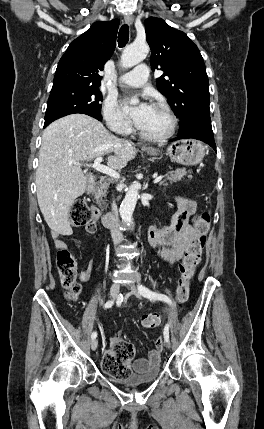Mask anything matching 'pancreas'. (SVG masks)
<instances>
[{
	"label": "pancreas",
	"mask_w": 264,
	"mask_h": 429,
	"mask_svg": "<svg viewBox=\"0 0 264 429\" xmlns=\"http://www.w3.org/2000/svg\"><path fill=\"white\" fill-rule=\"evenodd\" d=\"M191 173V171H189ZM187 175V171L185 168L177 169L175 171H171L165 175L166 179L161 182V184H164L165 186L168 185L167 181L170 183L178 182L180 181L184 176ZM113 179H102L97 185L94 186L92 189V192L94 193L95 199L97 204L100 206L105 204L104 198L106 197L107 189L109 188V185L113 183Z\"/></svg>",
	"instance_id": "pancreas-1"
}]
</instances>
